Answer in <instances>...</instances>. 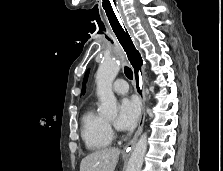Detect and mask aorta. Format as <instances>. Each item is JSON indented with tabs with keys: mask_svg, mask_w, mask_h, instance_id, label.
Here are the masks:
<instances>
[{
	"mask_svg": "<svg viewBox=\"0 0 223 171\" xmlns=\"http://www.w3.org/2000/svg\"><path fill=\"white\" fill-rule=\"evenodd\" d=\"M120 70V63L106 59L100 64L96 74L97 96L101 101L100 112L106 116L117 115V100L112 91V83ZM147 150V134L143 133L129 159L126 171H141Z\"/></svg>",
	"mask_w": 223,
	"mask_h": 171,
	"instance_id": "1",
	"label": "aorta"
}]
</instances>
